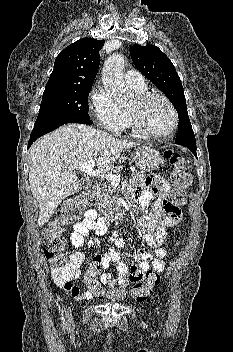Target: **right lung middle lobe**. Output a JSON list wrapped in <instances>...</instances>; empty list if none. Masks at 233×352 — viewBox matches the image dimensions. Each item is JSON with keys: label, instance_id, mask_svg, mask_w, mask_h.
Returning <instances> with one entry per match:
<instances>
[{"label": "right lung middle lobe", "instance_id": "right-lung-middle-lobe-1", "mask_svg": "<svg viewBox=\"0 0 233 352\" xmlns=\"http://www.w3.org/2000/svg\"><path fill=\"white\" fill-rule=\"evenodd\" d=\"M92 85L45 88L34 127L71 118H87L88 96Z\"/></svg>", "mask_w": 233, "mask_h": 352}]
</instances>
